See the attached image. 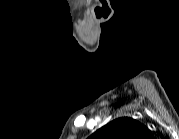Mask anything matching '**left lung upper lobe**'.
<instances>
[{"mask_svg": "<svg viewBox=\"0 0 179 139\" xmlns=\"http://www.w3.org/2000/svg\"><path fill=\"white\" fill-rule=\"evenodd\" d=\"M150 134L144 124L133 118L122 117L109 122L92 136L96 139H145Z\"/></svg>", "mask_w": 179, "mask_h": 139, "instance_id": "5c2ea615", "label": "left lung upper lobe"}]
</instances>
